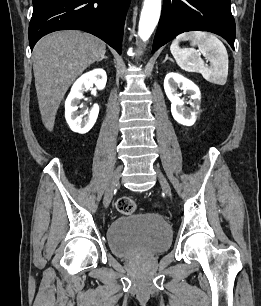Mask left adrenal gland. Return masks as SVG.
Returning <instances> with one entry per match:
<instances>
[{"label":"left adrenal gland","mask_w":261,"mask_h":306,"mask_svg":"<svg viewBox=\"0 0 261 306\" xmlns=\"http://www.w3.org/2000/svg\"><path fill=\"white\" fill-rule=\"evenodd\" d=\"M167 60H170V61H172V62H173V60H172L171 58H169V57H168V55H166V57H165V59H164L163 63H164V62H166Z\"/></svg>","instance_id":"obj_1"}]
</instances>
